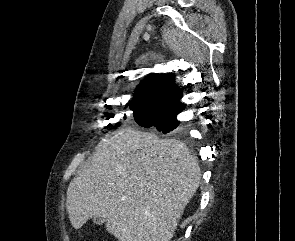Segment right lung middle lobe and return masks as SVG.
<instances>
[{"label": "right lung middle lobe", "instance_id": "right-lung-middle-lobe-1", "mask_svg": "<svg viewBox=\"0 0 295 241\" xmlns=\"http://www.w3.org/2000/svg\"><path fill=\"white\" fill-rule=\"evenodd\" d=\"M130 109L133 111V116L137 124L140 126L148 128L151 126L153 123L157 121H162L166 118H168L167 115L162 114V113H157V112H151V111H146L140 108H137L135 106L129 105ZM126 116H124V119ZM123 123V120H120L119 122L113 123L112 127L113 128H118L121 126Z\"/></svg>", "mask_w": 295, "mask_h": 241}]
</instances>
